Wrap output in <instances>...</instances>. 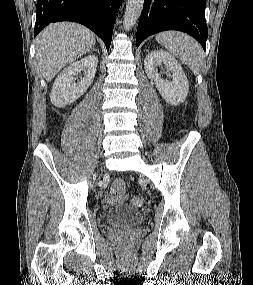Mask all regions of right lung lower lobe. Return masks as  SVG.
Here are the masks:
<instances>
[{"mask_svg":"<svg viewBox=\"0 0 253 285\" xmlns=\"http://www.w3.org/2000/svg\"><path fill=\"white\" fill-rule=\"evenodd\" d=\"M123 0H38L34 37L48 24L74 21L98 35L109 49L117 11Z\"/></svg>","mask_w":253,"mask_h":285,"instance_id":"obj_1","label":"right lung lower lobe"}]
</instances>
